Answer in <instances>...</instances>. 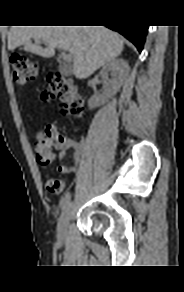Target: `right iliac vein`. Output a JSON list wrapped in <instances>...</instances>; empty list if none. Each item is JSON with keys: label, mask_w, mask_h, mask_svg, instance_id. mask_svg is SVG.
Segmentation results:
<instances>
[{"label": "right iliac vein", "mask_w": 184, "mask_h": 292, "mask_svg": "<svg viewBox=\"0 0 184 292\" xmlns=\"http://www.w3.org/2000/svg\"><path fill=\"white\" fill-rule=\"evenodd\" d=\"M71 215H72V205L68 204L66 208L63 210L58 221L57 238L59 240H63L66 236Z\"/></svg>", "instance_id": "1"}]
</instances>
